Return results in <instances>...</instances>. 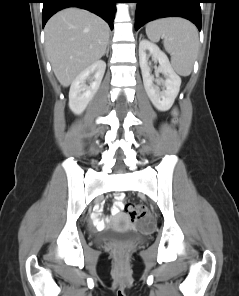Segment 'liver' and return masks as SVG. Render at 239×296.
I'll return each instance as SVG.
<instances>
[{"label": "liver", "mask_w": 239, "mask_h": 296, "mask_svg": "<svg viewBox=\"0 0 239 296\" xmlns=\"http://www.w3.org/2000/svg\"><path fill=\"white\" fill-rule=\"evenodd\" d=\"M108 41V24L79 8L59 11L45 26L46 53L63 87L105 54Z\"/></svg>", "instance_id": "6515ba94"}]
</instances>
